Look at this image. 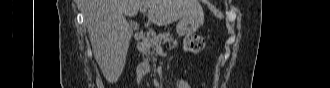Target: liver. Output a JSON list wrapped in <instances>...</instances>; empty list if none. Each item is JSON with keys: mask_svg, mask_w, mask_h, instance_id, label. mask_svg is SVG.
<instances>
[{"mask_svg": "<svg viewBox=\"0 0 330 88\" xmlns=\"http://www.w3.org/2000/svg\"><path fill=\"white\" fill-rule=\"evenodd\" d=\"M148 9V19L167 25L189 16H204L198 0H84L83 14L94 57L106 80L121 75L133 30L126 16Z\"/></svg>", "mask_w": 330, "mask_h": 88, "instance_id": "6515ba94", "label": "liver"}]
</instances>
